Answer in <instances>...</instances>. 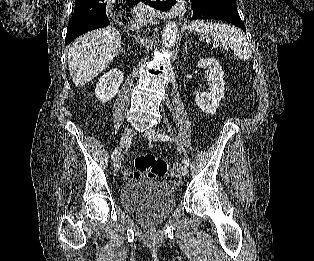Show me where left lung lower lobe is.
Here are the masks:
<instances>
[{
    "label": "left lung lower lobe",
    "instance_id": "0a47b994",
    "mask_svg": "<svg viewBox=\"0 0 314 261\" xmlns=\"http://www.w3.org/2000/svg\"><path fill=\"white\" fill-rule=\"evenodd\" d=\"M191 8L193 16L190 21L196 19L222 20L246 31L234 0H191Z\"/></svg>",
    "mask_w": 314,
    "mask_h": 261
}]
</instances>
